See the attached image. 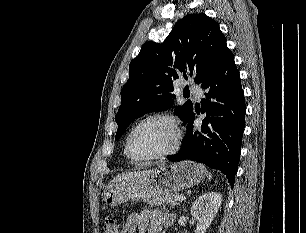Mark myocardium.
<instances>
[{"label":"myocardium","mask_w":306,"mask_h":233,"mask_svg":"<svg viewBox=\"0 0 306 233\" xmlns=\"http://www.w3.org/2000/svg\"><path fill=\"white\" fill-rule=\"evenodd\" d=\"M153 120H166V121L170 122L172 124V126L174 127V130H175V142H174L173 146L165 152L150 155V156H147V157L138 158V157H136L132 154L131 149H130V142H131L132 136L142 125H144L147 122L153 121ZM182 138H183V132H182V128L180 126V122L174 115L169 114V113H155V114H151V115L143 118L141 121H139L131 129V131L129 132V134L126 138L125 149L124 150H125L126 156L131 161L136 162V163L148 162V161H152V160H156V159L166 158V157L172 156L175 153H177L178 150L180 149V146H181V143H182Z\"/></svg>","instance_id":"myocardium-1"}]
</instances>
